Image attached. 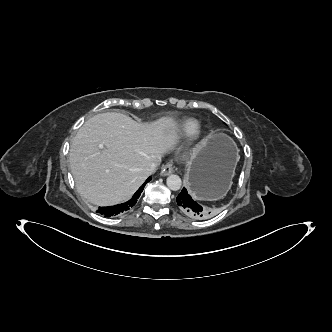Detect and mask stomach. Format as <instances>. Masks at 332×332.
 <instances>
[{"mask_svg": "<svg viewBox=\"0 0 332 332\" xmlns=\"http://www.w3.org/2000/svg\"><path fill=\"white\" fill-rule=\"evenodd\" d=\"M238 149L226 134H210L187 164V188L196 200L213 201L224 197L232 183Z\"/></svg>", "mask_w": 332, "mask_h": 332, "instance_id": "1", "label": "stomach"}]
</instances>
